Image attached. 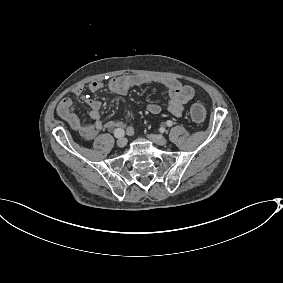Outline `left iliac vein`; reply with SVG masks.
I'll return each mask as SVG.
<instances>
[{
  "label": "left iliac vein",
  "instance_id": "left-iliac-vein-1",
  "mask_svg": "<svg viewBox=\"0 0 283 283\" xmlns=\"http://www.w3.org/2000/svg\"><path fill=\"white\" fill-rule=\"evenodd\" d=\"M148 138L158 145H165L167 143V139L162 135L150 134Z\"/></svg>",
  "mask_w": 283,
  "mask_h": 283
}]
</instances>
